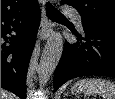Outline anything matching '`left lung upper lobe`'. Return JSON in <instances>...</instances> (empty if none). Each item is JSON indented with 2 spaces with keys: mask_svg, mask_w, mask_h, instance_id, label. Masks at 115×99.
I'll use <instances>...</instances> for the list:
<instances>
[{
  "mask_svg": "<svg viewBox=\"0 0 115 99\" xmlns=\"http://www.w3.org/2000/svg\"><path fill=\"white\" fill-rule=\"evenodd\" d=\"M74 7L82 18V25L115 32V0H61Z\"/></svg>",
  "mask_w": 115,
  "mask_h": 99,
  "instance_id": "obj_1",
  "label": "left lung upper lobe"
}]
</instances>
